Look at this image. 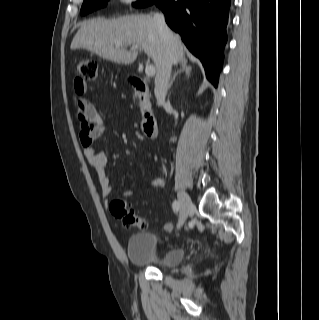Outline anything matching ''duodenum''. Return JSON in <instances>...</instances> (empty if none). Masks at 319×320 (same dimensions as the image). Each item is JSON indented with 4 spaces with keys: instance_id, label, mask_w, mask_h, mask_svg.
Segmentation results:
<instances>
[{
    "instance_id": "1",
    "label": "duodenum",
    "mask_w": 319,
    "mask_h": 320,
    "mask_svg": "<svg viewBox=\"0 0 319 320\" xmlns=\"http://www.w3.org/2000/svg\"><path fill=\"white\" fill-rule=\"evenodd\" d=\"M130 82L135 92L139 95L140 100L145 103L148 99V86L146 82L137 76L131 77ZM142 128L149 139H154L156 137L157 125L151 117L147 106H144L143 108Z\"/></svg>"
}]
</instances>
